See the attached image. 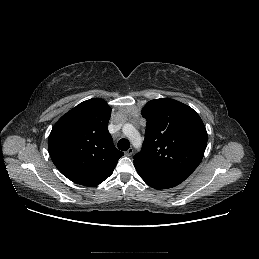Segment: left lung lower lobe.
Returning a JSON list of instances; mask_svg holds the SVG:
<instances>
[{"instance_id": "0a47b994", "label": "left lung lower lobe", "mask_w": 259, "mask_h": 259, "mask_svg": "<svg viewBox=\"0 0 259 259\" xmlns=\"http://www.w3.org/2000/svg\"><path fill=\"white\" fill-rule=\"evenodd\" d=\"M134 166L145 183L155 189L172 188L185 180L183 177L169 174L140 161H134Z\"/></svg>"}]
</instances>
